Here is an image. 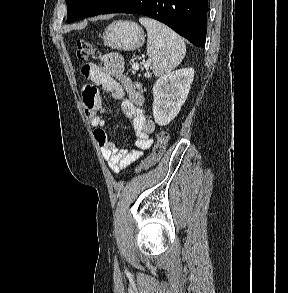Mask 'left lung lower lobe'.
Returning <instances> with one entry per match:
<instances>
[{
	"instance_id": "obj_1",
	"label": "left lung lower lobe",
	"mask_w": 288,
	"mask_h": 293,
	"mask_svg": "<svg viewBox=\"0 0 288 293\" xmlns=\"http://www.w3.org/2000/svg\"><path fill=\"white\" fill-rule=\"evenodd\" d=\"M208 0H118L101 14L134 13L154 18L193 45L205 46Z\"/></svg>"
}]
</instances>
